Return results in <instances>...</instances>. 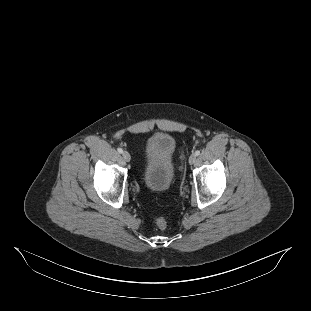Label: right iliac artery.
Returning <instances> with one entry per match:
<instances>
[{"label": "right iliac artery", "instance_id": "1", "mask_svg": "<svg viewBox=\"0 0 311 311\" xmlns=\"http://www.w3.org/2000/svg\"><path fill=\"white\" fill-rule=\"evenodd\" d=\"M119 153H123V149L122 148H118L117 149Z\"/></svg>", "mask_w": 311, "mask_h": 311}]
</instances>
